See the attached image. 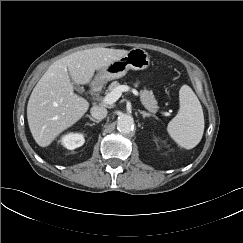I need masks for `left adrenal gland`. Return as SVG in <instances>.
Listing matches in <instances>:
<instances>
[{"label":"left adrenal gland","instance_id":"left-adrenal-gland-1","mask_svg":"<svg viewBox=\"0 0 243 243\" xmlns=\"http://www.w3.org/2000/svg\"><path fill=\"white\" fill-rule=\"evenodd\" d=\"M139 113L142 114L143 118L150 117V116L155 117L154 114H151V113H148V112H145V111L139 110Z\"/></svg>","mask_w":243,"mask_h":243}]
</instances>
